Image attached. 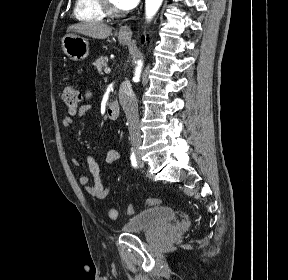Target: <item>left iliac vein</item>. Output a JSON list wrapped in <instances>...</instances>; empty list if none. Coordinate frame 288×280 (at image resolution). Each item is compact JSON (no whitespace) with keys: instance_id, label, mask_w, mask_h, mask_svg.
I'll return each mask as SVG.
<instances>
[{"instance_id":"1","label":"left iliac vein","mask_w":288,"mask_h":280,"mask_svg":"<svg viewBox=\"0 0 288 280\" xmlns=\"http://www.w3.org/2000/svg\"><path fill=\"white\" fill-rule=\"evenodd\" d=\"M138 166H139V168H143L144 167V162L140 158L138 160Z\"/></svg>"}]
</instances>
